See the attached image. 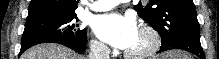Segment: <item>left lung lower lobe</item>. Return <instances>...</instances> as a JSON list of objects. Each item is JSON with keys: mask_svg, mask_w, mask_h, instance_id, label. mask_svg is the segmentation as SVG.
<instances>
[{"mask_svg": "<svg viewBox=\"0 0 219 59\" xmlns=\"http://www.w3.org/2000/svg\"><path fill=\"white\" fill-rule=\"evenodd\" d=\"M173 49L186 50L195 54L200 59H205L204 52L200 44V33L193 32L182 34L178 38L171 40L169 43L161 45V48L157 53Z\"/></svg>", "mask_w": 219, "mask_h": 59, "instance_id": "obj_1", "label": "left lung lower lobe"}]
</instances>
